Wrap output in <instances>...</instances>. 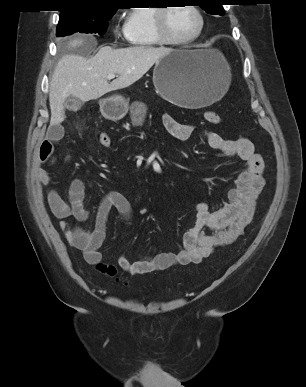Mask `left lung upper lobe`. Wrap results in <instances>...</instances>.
Listing matches in <instances>:
<instances>
[{
  "mask_svg": "<svg viewBox=\"0 0 306 387\" xmlns=\"http://www.w3.org/2000/svg\"><path fill=\"white\" fill-rule=\"evenodd\" d=\"M224 0H197L198 5L211 15H224V8L222 7Z\"/></svg>",
  "mask_w": 306,
  "mask_h": 387,
  "instance_id": "left-lung-upper-lobe-1",
  "label": "left lung upper lobe"
}]
</instances>
